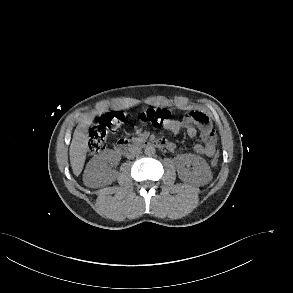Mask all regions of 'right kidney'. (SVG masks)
Instances as JSON below:
<instances>
[{
	"instance_id": "obj_1",
	"label": "right kidney",
	"mask_w": 293,
	"mask_h": 293,
	"mask_svg": "<svg viewBox=\"0 0 293 293\" xmlns=\"http://www.w3.org/2000/svg\"><path fill=\"white\" fill-rule=\"evenodd\" d=\"M108 157L106 154L95 155L87 164L84 171V184L91 188H97L111 184L117 172L107 168Z\"/></svg>"
}]
</instances>
